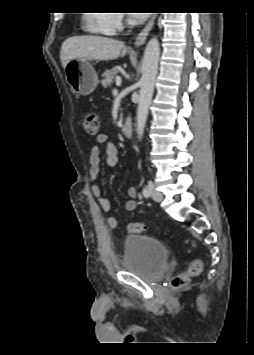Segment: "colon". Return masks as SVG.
<instances>
[{
    "label": "colon",
    "mask_w": 254,
    "mask_h": 355,
    "mask_svg": "<svg viewBox=\"0 0 254 355\" xmlns=\"http://www.w3.org/2000/svg\"><path fill=\"white\" fill-rule=\"evenodd\" d=\"M82 124L85 131L90 135H95L99 131L100 121L96 113H86L82 118ZM127 231L131 234H138L145 231L143 223H130L127 225ZM202 262L200 260H193L187 269L176 275L172 280V286L175 289L186 286L193 276L198 275L202 271Z\"/></svg>",
    "instance_id": "5ec220e1"
}]
</instances>
